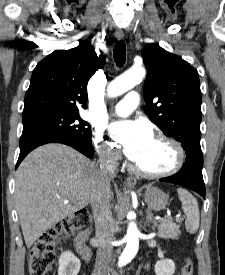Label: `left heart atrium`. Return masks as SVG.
<instances>
[{
  "label": "left heart atrium",
  "instance_id": "obj_1",
  "mask_svg": "<svg viewBox=\"0 0 225 275\" xmlns=\"http://www.w3.org/2000/svg\"><path fill=\"white\" fill-rule=\"evenodd\" d=\"M113 139L122 147L124 154L136 162L153 139L150 127L139 120H121L109 127Z\"/></svg>",
  "mask_w": 225,
  "mask_h": 275
}]
</instances>
